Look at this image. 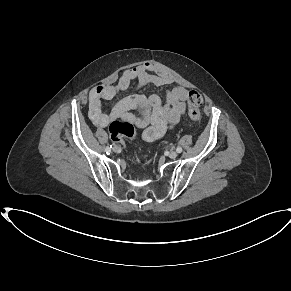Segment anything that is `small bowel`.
<instances>
[{"label": "small bowel", "instance_id": "c3829d8e", "mask_svg": "<svg viewBox=\"0 0 291 291\" xmlns=\"http://www.w3.org/2000/svg\"><path fill=\"white\" fill-rule=\"evenodd\" d=\"M134 80H137L141 86H166L174 82L169 72L152 62L127 69L116 84L98 85L91 89L89 116L93 124L99 128H105L117 119L128 121L144 128L141 134L143 140L154 141L178 123L186 112L188 90L179 86L168 90L165 102L158 94L149 97L129 96L117 102L110 111H106L103 102L128 89ZM135 107L142 110L141 116H135L129 112L131 108Z\"/></svg>", "mask_w": 291, "mask_h": 291}]
</instances>
